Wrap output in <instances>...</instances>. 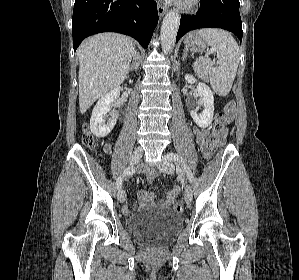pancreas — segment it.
<instances>
[{
    "instance_id": "1",
    "label": "pancreas",
    "mask_w": 299,
    "mask_h": 280,
    "mask_svg": "<svg viewBox=\"0 0 299 280\" xmlns=\"http://www.w3.org/2000/svg\"><path fill=\"white\" fill-rule=\"evenodd\" d=\"M194 70L196 72V74L204 81H207L208 80V77H207V71L204 69L203 65L202 64H198L196 63L194 65Z\"/></svg>"
}]
</instances>
